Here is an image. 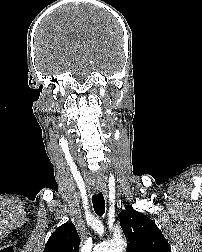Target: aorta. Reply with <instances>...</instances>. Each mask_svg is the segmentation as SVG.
<instances>
[{"label":"aorta","mask_w":202,"mask_h":252,"mask_svg":"<svg viewBox=\"0 0 202 252\" xmlns=\"http://www.w3.org/2000/svg\"><path fill=\"white\" fill-rule=\"evenodd\" d=\"M126 242L122 239H116L109 243H103L95 247L94 252H124Z\"/></svg>","instance_id":"1"}]
</instances>
